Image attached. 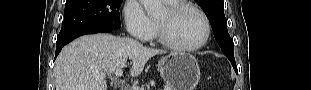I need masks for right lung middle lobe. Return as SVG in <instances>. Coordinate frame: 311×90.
<instances>
[{"label":"right lung middle lobe","mask_w":311,"mask_h":90,"mask_svg":"<svg viewBox=\"0 0 311 90\" xmlns=\"http://www.w3.org/2000/svg\"><path fill=\"white\" fill-rule=\"evenodd\" d=\"M122 0H67L57 40L86 29H118Z\"/></svg>","instance_id":"obj_1"}]
</instances>
